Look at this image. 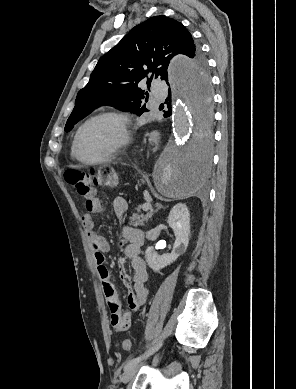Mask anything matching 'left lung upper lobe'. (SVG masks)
<instances>
[{
	"label": "left lung upper lobe",
	"instance_id": "1",
	"mask_svg": "<svg viewBox=\"0 0 296 389\" xmlns=\"http://www.w3.org/2000/svg\"><path fill=\"white\" fill-rule=\"evenodd\" d=\"M177 54L187 55L191 60V83L209 90L206 60L185 26L163 15L151 17L135 26L99 59L88 84L78 92L65 131L72 130L74 124L98 105L113 106L138 116L147 112L144 101L148 93L138 88V83L147 79L149 87L153 75L169 83L168 65ZM200 99L203 115L209 121L211 116L206 107L210 95Z\"/></svg>",
	"mask_w": 296,
	"mask_h": 389
}]
</instances>
